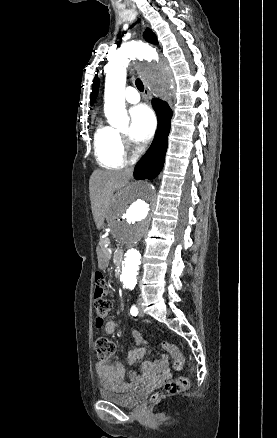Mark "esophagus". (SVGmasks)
<instances>
[{
	"instance_id": "34e87169",
	"label": "esophagus",
	"mask_w": 277,
	"mask_h": 438,
	"mask_svg": "<svg viewBox=\"0 0 277 438\" xmlns=\"http://www.w3.org/2000/svg\"><path fill=\"white\" fill-rule=\"evenodd\" d=\"M141 23L144 24V21L142 19H141ZM160 65L166 72L168 71V70H166V67H167L166 62L163 59L160 60ZM144 96H145V98L149 99V91H148L146 85H145V89H144Z\"/></svg>"
}]
</instances>
